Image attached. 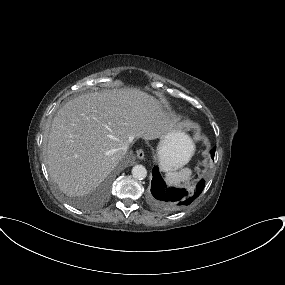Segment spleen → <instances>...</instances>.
I'll return each instance as SVG.
<instances>
[{"instance_id": "1", "label": "spleen", "mask_w": 285, "mask_h": 285, "mask_svg": "<svg viewBox=\"0 0 285 285\" xmlns=\"http://www.w3.org/2000/svg\"><path fill=\"white\" fill-rule=\"evenodd\" d=\"M165 171H167L165 174V181L169 186H180L182 182L184 184H189L192 176V170L189 168H183L178 172Z\"/></svg>"}]
</instances>
